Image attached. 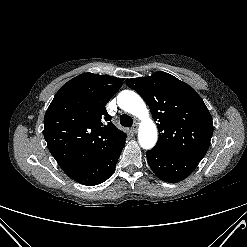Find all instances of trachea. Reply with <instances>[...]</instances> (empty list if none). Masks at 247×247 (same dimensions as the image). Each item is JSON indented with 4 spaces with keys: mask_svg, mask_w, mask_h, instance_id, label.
<instances>
[{
    "mask_svg": "<svg viewBox=\"0 0 247 247\" xmlns=\"http://www.w3.org/2000/svg\"><path fill=\"white\" fill-rule=\"evenodd\" d=\"M120 124L124 127H131L133 125V119L126 114L121 115Z\"/></svg>",
    "mask_w": 247,
    "mask_h": 247,
    "instance_id": "trachea-1",
    "label": "trachea"
}]
</instances>
